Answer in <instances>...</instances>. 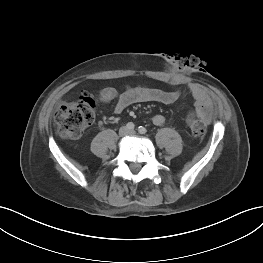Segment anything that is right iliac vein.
Returning <instances> with one entry per match:
<instances>
[{"label": "right iliac vein", "mask_w": 263, "mask_h": 263, "mask_svg": "<svg viewBox=\"0 0 263 263\" xmlns=\"http://www.w3.org/2000/svg\"><path fill=\"white\" fill-rule=\"evenodd\" d=\"M128 133H129V131H128L127 127H122V128H120V130H119V135H120L121 137L126 136Z\"/></svg>", "instance_id": "obj_1"}]
</instances>
